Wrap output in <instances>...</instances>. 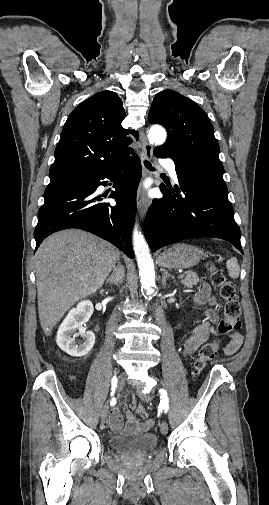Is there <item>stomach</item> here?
Wrapping results in <instances>:
<instances>
[{
  "mask_svg": "<svg viewBox=\"0 0 269 505\" xmlns=\"http://www.w3.org/2000/svg\"><path fill=\"white\" fill-rule=\"evenodd\" d=\"M203 256L204 252L200 248L179 243L161 252L158 262L166 268H191L198 264Z\"/></svg>",
  "mask_w": 269,
  "mask_h": 505,
  "instance_id": "stomach-1",
  "label": "stomach"
}]
</instances>
